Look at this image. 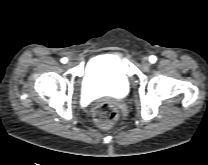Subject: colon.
Wrapping results in <instances>:
<instances>
[{
  "mask_svg": "<svg viewBox=\"0 0 208 165\" xmlns=\"http://www.w3.org/2000/svg\"><path fill=\"white\" fill-rule=\"evenodd\" d=\"M119 116L117 107L111 102H102L94 110V120L101 129L111 128Z\"/></svg>",
  "mask_w": 208,
  "mask_h": 165,
  "instance_id": "1",
  "label": "colon"
}]
</instances>
